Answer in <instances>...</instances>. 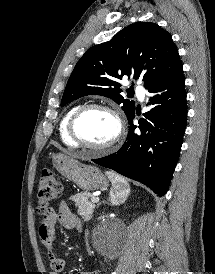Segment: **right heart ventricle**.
<instances>
[{"label":"right heart ventricle","mask_w":215,"mask_h":274,"mask_svg":"<svg viewBox=\"0 0 215 274\" xmlns=\"http://www.w3.org/2000/svg\"><path fill=\"white\" fill-rule=\"evenodd\" d=\"M80 106H73L72 108H70L65 115L63 116V118L60 121L59 124V135H60V139L61 141L69 147H78V145L71 139L69 132H68V124L70 121L71 116L73 115V113L79 108Z\"/></svg>","instance_id":"e07e8e85"}]
</instances>
